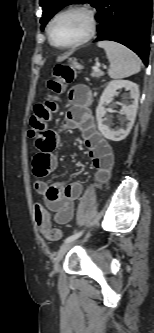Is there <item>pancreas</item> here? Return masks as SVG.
<instances>
[{
    "mask_svg": "<svg viewBox=\"0 0 154 333\" xmlns=\"http://www.w3.org/2000/svg\"><path fill=\"white\" fill-rule=\"evenodd\" d=\"M104 75V72L100 71L99 69L93 68V71L91 73L92 77L99 78Z\"/></svg>",
    "mask_w": 154,
    "mask_h": 333,
    "instance_id": "1",
    "label": "pancreas"
}]
</instances>
